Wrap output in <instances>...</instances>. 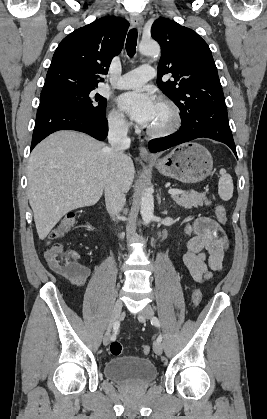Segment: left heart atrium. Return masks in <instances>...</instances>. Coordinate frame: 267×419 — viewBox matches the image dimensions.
<instances>
[{"instance_id": "1", "label": "left heart atrium", "mask_w": 267, "mask_h": 419, "mask_svg": "<svg viewBox=\"0 0 267 419\" xmlns=\"http://www.w3.org/2000/svg\"><path fill=\"white\" fill-rule=\"evenodd\" d=\"M119 107L142 126H148L157 105L155 97L148 92L131 91L118 98Z\"/></svg>"}]
</instances>
